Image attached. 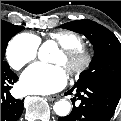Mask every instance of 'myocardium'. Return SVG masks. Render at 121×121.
Returning <instances> with one entry per match:
<instances>
[{"instance_id":"f54148a6","label":"myocardium","mask_w":121,"mask_h":121,"mask_svg":"<svg viewBox=\"0 0 121 121\" xmlns=\"http://www.w3.org/2000/svg\"><path fill=\"white\" fill-rule=\"evenodd\" d=\"M70 75L80 76L82 75L92 63V55L82 47L65 48L60 50Z\"/></svg>"}]
</instances>
